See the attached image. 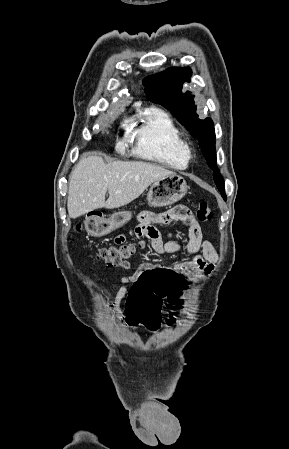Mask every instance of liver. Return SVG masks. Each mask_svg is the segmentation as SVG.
Listing matches in <instances>:
<instances>
[{
  "label": "liver",
  "instance_id": "obj_1",
  "mask_svg": "<svg viewBox=\"0 0 289 449\" xmlns=\"http://www.w3.org/2000/svg\"><path fill=\"white\" fill-rule=\"evenodd\" d=\"M170 175L175 173L148 162L114 161L106 164L101 157L83 156L69 178V217L78 218L95 209L127 205L152 183ZM107 192L109 198L106 201Z\"/></svg>",
  "mask_w": 289,
  "mask_h": 449
}]
</instances>
